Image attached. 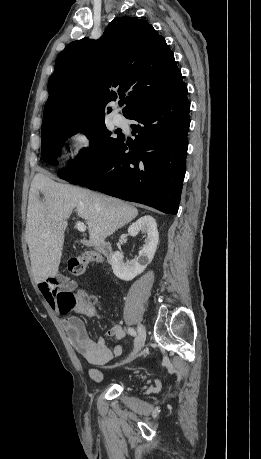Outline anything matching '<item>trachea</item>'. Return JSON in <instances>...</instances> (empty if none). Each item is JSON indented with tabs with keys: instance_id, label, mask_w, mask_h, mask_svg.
Instances as JSON below:
<instances>
[{
	"instance_id": "obj_1",
	"label": "trachea",
	"mask_w": 261,
	"mask_h": 459,
	"mask_svg": "<svg viewBox=\"0 0 261 459\" xmlns=\"http://www.w3.org/2000/svg\"><path fill=\"white\" fill-rule=\"evenodd\" d=\"M125 103V101H120V104L123 105Z\"/></svg>"
}]
</instances>
